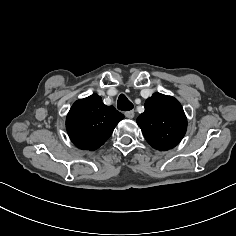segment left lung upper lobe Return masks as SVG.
Listing matches in <instances>:
<instances>
[{
	"label": "left lung upper lobe",
	"instance_id": "left-lung-upper-lobe-1",
	"mask_svg": "<svg viewBox=\"0 0 236 236\" xmlns=\"http://www.w3.org/2000/svg\"><path fill=\"white\" fill-rule=\"evenodd\" d=\"M146 141L159 151L175 147L184 137L187 119L181 104L171 96L155 93L145 102L136 120Z\"/></svg>",
	"mask_w": 236,
	"mask_h": 236
}]
</instances>
